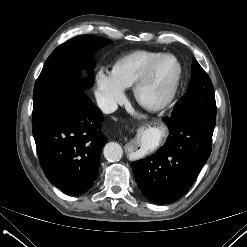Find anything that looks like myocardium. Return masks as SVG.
I'll return each mask as SVG.
<instances>
[{
	"label": "myocardium",
	"instance_id": "1",
	"mask_svg": "<svg viewBox=\"0 0 247 247\" xmlns=\"http://www.w3.org/2000/svg\"><path fill=\"white\" fill-rule=\"evenodd\" d=\"M167 58L174 60V62L176 64V73H175L174 79H173L167 93L162 98L155 100V101H149V100L144 98L143 89L146 86V84L148 83L149 79L151 78L152 73H153L154 69L156 68V66L162 60L167 59ZM181 75H182V68H181V64H180L179 60L177 59V57L174 56L173 54H170V53L161 54L160 56L155 58L145 68V70L142 72L140 77L134 83L133 95H134L135 100L137 101V103L141 107H143L144 109L149 110V111H160V110L165 109L166 107H168L172 103V101L174 100V98L177 94L180 80H181Z\"/></svg>",
	"mask_w": 247,
	"mask_h": 247
}]
</instances>
